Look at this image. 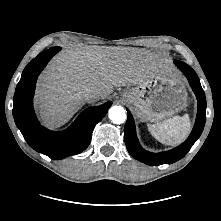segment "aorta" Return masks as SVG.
Here are the masks:
<instances>
[{"mask_svg":"<svg viewBox=\"0 0 221 221\" xmlns=\"http://www.w3.org/2000/svg\"><path fill=\"white\" fill-rule=\"evenodd\" d=\"M109 118L113 123L122 124L125 122L127 116L126 111L122 106H112L109 109Z\"/></svg>","mask_w":221,"mask_h":221,"instance_id":"1","label":"aorta"}]
</instances>
